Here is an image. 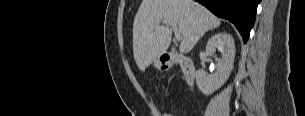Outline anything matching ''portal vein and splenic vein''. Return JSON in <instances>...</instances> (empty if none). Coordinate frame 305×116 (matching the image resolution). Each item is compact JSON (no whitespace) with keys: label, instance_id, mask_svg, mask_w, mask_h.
Here are the masks:
<instances>
[{"label":"portal vein and splenic vein","instance_id":"18ae733b","mask_svg":"<svg viewBox=\"0 0 305 116\" xmlns=\"http://www.w3.org/2000/svg\"><path fill=\"white\" fill-rule=\"evenodd\" d=\"M163 24L165 25H170L172 27V29L174 30V33H175V38L176 40H181L182 39V36L180 34V32L178 31V28H177V23L173 22V21H167V20H164L162 22Z\"/></svg>","mask_w":305,"mask_h":116}]
</instances>
